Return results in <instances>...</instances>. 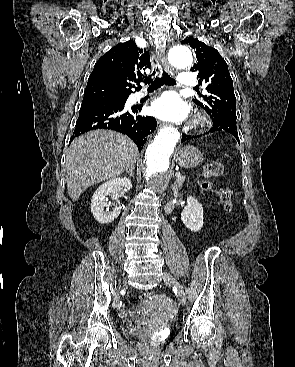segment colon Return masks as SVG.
<instances>
[{
    "label": "colon",
    "mask_w": 295,
    "mask_h": 367,
    "mask_svg": "<svg viewBox=\"0 0 295 367\" xmlns=\"http://www.w3.org/2000/svg\"><path fill=\"white\" fill-rule=\"evenodd\" d=\"M223 171L224 165L221 162L214 161L205 165L202 171L200 187L205 191H216L225 210L230 212L233 207L230 190L227 188H216L213 183V178L221 175ZM151 296L150 292H145L142 295L145 299Z\"/></svg>",
    "instance_id": "colon-1"
}]
</instances>
